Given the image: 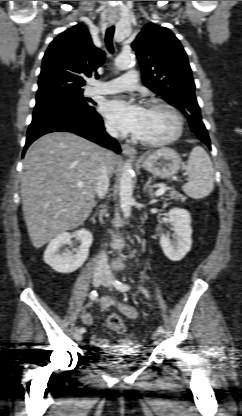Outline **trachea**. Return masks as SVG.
Wrapping results in <instances>:
<instances>
[{
  "instance_id": "3493384b",
  "label": "trachea",
  "mask_w": 242,
  "mask_h": 416,
  "mask_svg": "<svg viewBox=\"0 0 242 416\" xmlns=\"http://www.w3.org/2000/svg\"><path fill=\"white\" fill-rule=\"evenodd\" d=\"M114 31H115V27L111 26L106 30V34H105V43H106V47L109 50L110 53H113L114 48H113V36H114Z\"/></svg>"
}]
</instances>
